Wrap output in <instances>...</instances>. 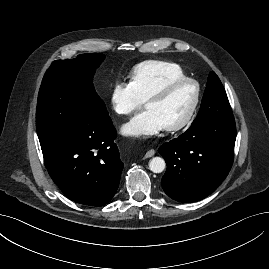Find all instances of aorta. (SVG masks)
<instances>
[{
  "mask_svg": "<svg viewBox=\"0 0 269 269\" xmlns=\"http://www.w3.org/2000/svg\"><path fill=\"white\" fill-rule=\"evenodd\" d=\"M165 161L161 157H153L149 162V168L154 173H161L165 169Z\"/></svg>",
  "mask_w": 269,
  "mask_h": 269,
  "instance_id": "762f6f07",
  "label": "aorta"
}]
</instances>
